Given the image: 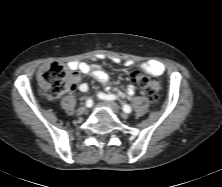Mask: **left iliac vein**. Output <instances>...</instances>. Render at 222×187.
<instances>
[{
  "mask_svg": "<svg viewBox=\"0 0 222 187\" xmlns=\"http://www.w3.org/2000/svg\"><path fill=\"white\" fill-rule=\"evenodd\" d=\"M109 107H111V108H113L114 110H116V111H120V108H119V106L116 104V103H114V102H111V101H106L105 102ZM121 114V116L123 117V118H125V117H127V114H125V113H120Z\"/></svg>",
  "mask_w": 222,
  "mask_h": 187,
  "instance_id": "4c4485c4",
  "label": "left iliac vein"
}]
</instances>
